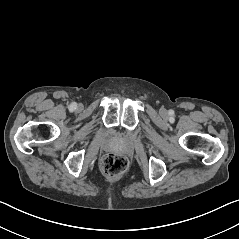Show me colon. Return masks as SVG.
I'll return each mask as SVG.
<instances>
[{
  "instance_id": "colon-1",
  "label": "colon",
  "mask_w": 239,
  "mask_h": 239,
  "mask_svg": "<svg viewBox=\"0 0 239 239\" xmlns=\"http://www.w3.org/2000/svg\"><path fill=\"white\" fill-rule=\"evenodd\" d=\"M102 169L109 175H117L124 172L127 168V159L119 154H107L101 162Z\"/></svg>"
}]
</instances>
